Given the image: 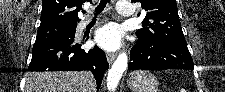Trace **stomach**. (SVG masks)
Segmentation results:
<instances>
[{"mask_svg":"<svg viewBox=\"0 0 225 92\" xmlns=\"http://www.w3.org/2000/svg\"><path fill=\"white\" fill-rule=\"evenodd\" d=\"M127 85L133 92H158L159 82L149 71H133L128 79Z\"/></svg>","mask_w":225,"mask_h":92,"instance_id":"stomach-1","label":"stomach"}]
</instances>
